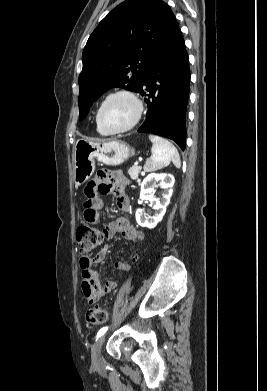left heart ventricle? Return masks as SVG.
<instances>
[{
  "label": "left heart ventricle",
  "instance_id": "b2bd125f",
  "mask_svg": "<svg viewBox=\"0 0 267 391\" xmlns=\"http://www.w3.org/2000/svg\"><path fill=\"white\" fill-rule=\"evenodd\" d=\"M135 115L134 103L125 96L110 99L102 111L103 122L110 128L117 129L128 125Z\"/></svg>",
  "mask_w": 267,
  "mask_h": 391
}]
</instances>
